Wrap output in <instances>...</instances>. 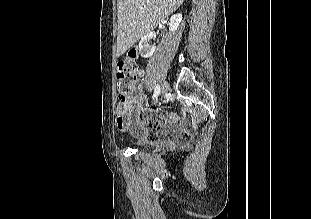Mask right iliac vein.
Returning <instances> with one entry per match:
<instances>
[{
  "instance_id": "1",
  "label": "right iliac vein",
  "mask_w": 311,
  "mask_h": 219,
  "mask_svg": "<svg viewBox=\"0 0 311 219\" xmlns=\"http://www.w3.org/2000/svg\"><path fill=\"white\" fill-rule=\"evenodd\" d=\"M168 89H169L168 83L166 81L163 82L162 87H161V93L164 95L168 91Z\"/></svg>"
}]
</instances>
